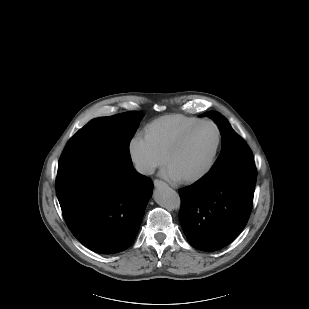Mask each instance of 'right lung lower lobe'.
Listing matches in <instances>:
<instances>
[{"label":"right lung lower lobe","instance_id":"1","mask_svg":"<svg viewBox=\"0 0 309 309\" xmlns=\"http://www.w3.org/2000/svg\"><path fill=\"white\" fill-rule=\"evenodd\" d=\"M56 183L66 224L84 246L101 254L131 246L153 187L131 162L96 158Z\"/></svg>","mask_w":309,"mask_h":309}]
</instances>
